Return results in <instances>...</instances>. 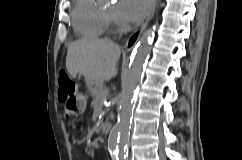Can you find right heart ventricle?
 Masks as SVG:
<instances>
[{
    "label": "right heart ventricle",
    "instance_id": "1",
    "mask_svg": "<svg viewBox=\"0 0 242 160\" xmlns=\"http://www.w3.org/2000/svg\"><path fill=\"white\" fill-rule=\"evenodd\" d=\"M71 17L74 30L80 37L97 39L104 35L101 8L95 0H75Z\"/></svg>",
    "mask_w": 242,
    "mask_h": 160
}]
</instances>
